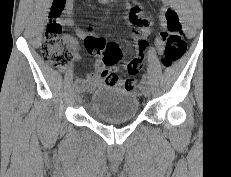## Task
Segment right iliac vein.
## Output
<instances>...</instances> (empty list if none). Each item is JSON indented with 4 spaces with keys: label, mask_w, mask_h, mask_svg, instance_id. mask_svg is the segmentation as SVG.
I'll return each instance as SVG.
<instances>
[{
    "label": "right iliac vein",
    "mask_w": 231,
    "mask_h": 177,
    "mask_svg": "<svg viewBox=\"0 0 231 177\" xmlns=\"http://www.w3.org/2000/svg\"><path fill=\"white\" fill-rule=\"evenodd\" d=\"M83 87L82 86H76L75 87V96L78 99L81 93L83 92Z\"/></svg>",
    "instance_id": "1"
}]
</instances>
